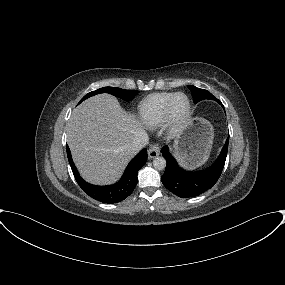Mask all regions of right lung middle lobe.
<instances>
[{
    "instance_id": "obj_1",
    "label": "right lung middle lobe",
    "mask_w": 285,
    "mask_h": 285,
    "mask_svg": "<svg viewBox=\"0 0 285 285\" xmlns=\"http://www.w3.org/2000/svg\"><path fill=\"white\" fill-rule=\"evenodd\" d=\"M100 93H109V94H112V95L117 96L119 98H122L125 100H130L137 94V91H135V90H124V89L115 88V87H103V88H100L96 91H92V92L88 93L87 95H85L81 99V101L79 103H81L83 100L87 99L88 97H91V96H94V95L100 94Z\"/></svg>"
}]
</instances>
